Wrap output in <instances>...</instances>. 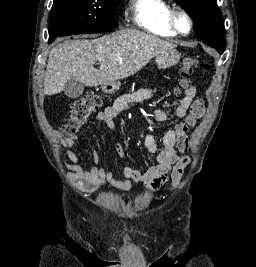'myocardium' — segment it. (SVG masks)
<instances>
[{
  "instance_id": "1",
  "label": "myocardium",
  "mask_w": 256,
  "mask_h": 267,
  "mask_svg": "<svg viewBox=\"0 0 256 267\" xmlns=\"http://www.w3.org/2000/svg\"><path fill=\"white\" fill-rule=\"evenodd\" d=\"M182 15L187 22V29L182 30L178 23V15ZM170 23L177 34L188 35L193 28V20L190 13L181 5H178L176 9L170 14Z\"/></svg>"
}]
</instances>
